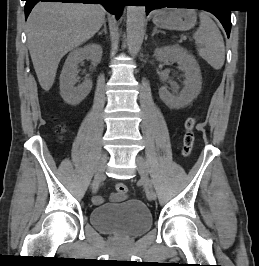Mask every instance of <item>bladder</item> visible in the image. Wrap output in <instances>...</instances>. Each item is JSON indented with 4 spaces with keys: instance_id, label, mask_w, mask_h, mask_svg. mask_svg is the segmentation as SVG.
Segmentation results:
<instances>
[{
    "instance_id": "obj_1",
    "label": "bladder",
    "mask_w": 259,
    "mask_h": 266,
    "mask_svg": "<svg viewBox=\"0 0 259 266\" xmlns=\"http://www.w3.org/2000/svg\"><path fill=\"white\" fill-rule=\"evenodd\" d=\"M90 223L101 233L138 237L152 226V215L140 200L128 199L119 205H102L92 209Z\"/></svg>"
}]
</instances>
